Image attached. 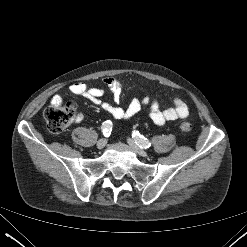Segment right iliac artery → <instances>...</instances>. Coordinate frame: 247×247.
<instances>
[{"mask_svg": "<svg viewBox=\"0 0 247 247\" xmlns=\"http://www.w3.org/2000/svg\"><path fill=\"white\" fill-rule=\"evenodd\" d=\"M102 131L105 137H108L112 131V122L107 120L102 123Z\"/></svg>", "mask_w": 247, "mask_h": 247, "instance_id": "1", "label": "right iliac artery"}]
</instances>
